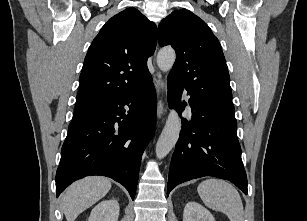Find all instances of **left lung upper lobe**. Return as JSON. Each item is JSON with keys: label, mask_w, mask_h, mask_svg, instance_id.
I'll return each instance as SVG.
<instances>
[{"label": "left lung upper lobe", "mask_w": 307, "mask_h": 221, "mask_svg": "<svg viewBox=\"0 0 307 221\" xmlns=\"http://www.w3.org/2000/svg\"><path fill=\"white\" fill-rule=\"evenodd\" d=\"M158 41L176 51L168 77L194 99L236 120L225 57L209 26L189 10H175L159 24Z\"/></svg>", "instance_id": "left-lung-upper-lobe-1"}]
</instances>
